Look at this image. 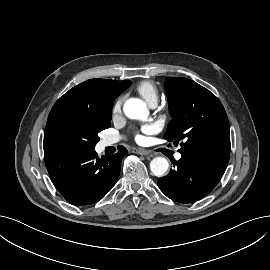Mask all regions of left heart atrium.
Returning <instances> with one entry per match:
<instances>
[{
    "mask_svg": "<svg viewBox=\"0 0 270 270\" xmlns=\"http://www.w3.org/2000/svg\"><path fill=\"white\" fill-rule=\"evenodd\" d=\"M144 130H145L146 132H152V131L154 130V127H153L152 125H145V126H144ZM137 138L139 139L140 136L137 135Z\"/></svg>",
    "mask_w": 270,
    "mask_h": 270,
    "instance_id": "left-heart-atrium-1",
    "label": "left heart atrium"
}]
</instances>
